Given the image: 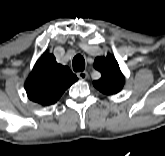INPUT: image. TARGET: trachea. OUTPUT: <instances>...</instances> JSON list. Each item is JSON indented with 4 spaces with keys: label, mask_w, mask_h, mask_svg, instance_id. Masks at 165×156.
I'll return each instance as SVG.
<instances>
[{
    "label": "trachea",
    "mask_w": 165,
    "mask_h": 156,
    "mask_svg": "<svg viewBox=\"0 0 165 156\" xmlns=\"http://www.w3.org/2000/svg\"><path fill=\"white\" fill-rule=\"evenodd\" d=\"M72 65H73L74 71H83L85 69V60H84L83 56L76 55L73 58Z\"/></svg>",
    "instance_id": "trachea-1"
}]
</instances>
